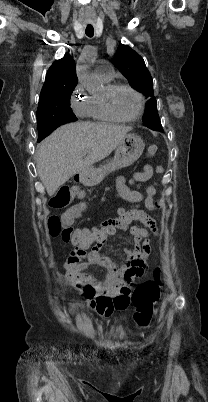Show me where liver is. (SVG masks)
Returning a JSON list of instances; mask_svg holds the SVG:
<instances>
[{"mask_svg": "<svg viewBox=\"0 0 208 402\" xmlns=\"http://www.w3.org/2000/svg\"><path fill=\"white\" fill-rule=\"evenodd\" d=\"M130 130L129 126L105 122H75L55 130L36 150L37 172L48 196H53L73 174L107 158ZM84 154L89 156L87 162L82 160Z\"/></svg>", "mask_w": 208, "mask_h": 402, "instance_id": "obj_1", "label": "liver"}]
</instances>
